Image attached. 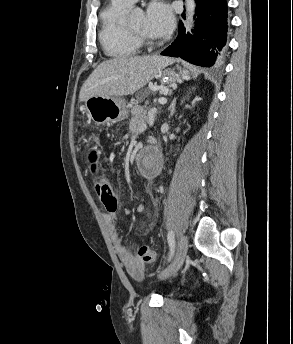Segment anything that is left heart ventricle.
I'll list each match as a JSON object with an SVG mask.
<instances>
[{"instance_id":"obj_1","label":"left heart ventricle","mask_w":293,"mask_h":344,"mask_svg":"<svg viewBox=\"0 0 293 344\" xmlns=\"http://www.w3.org/2000/svg\"><path fill=\"white\" fill-rule=\"evenodd\" d=\"M128 27L137 32V33H141L143 35H146L148 37H150L149 35L146 34L145 30H144V15L140 14L138 16H136L129 24Z\"/></svg>"}]
</instances>
